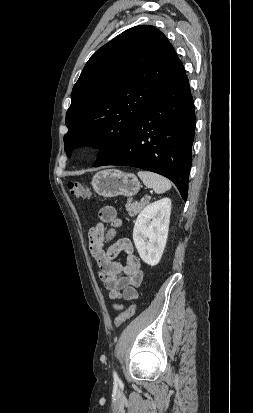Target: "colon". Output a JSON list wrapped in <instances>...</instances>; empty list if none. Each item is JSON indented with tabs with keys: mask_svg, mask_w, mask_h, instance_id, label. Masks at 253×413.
Here are the masks:
<instances>
[{
	"mask_svg": "<svg viewBox=\"0 0 253 413\" xmlns=\"http://www.w3.org/2000/svg\"><path fill=\"white\" fill-rule=\"evenodd\" d=\"M68 189L70 193L78 199H84L90 196L89 189L83 183L78 182V181H69ZM136 307H137L136 304H132L125 311L121 312L115 318V321H114L115 326H120L125 321L130 319L135 314Z\"/></svg>",
	"mask_w": 253,
	"mask_h": 413,
	"instance_id": "obj_1",
	"label": "colon"
}]
</instances>
